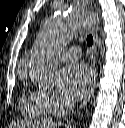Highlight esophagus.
Returning a JSON list of instances; mask_svg holds the SVG:
<instances>
[{"label": "esophagus", "mask_w": 125, "mask_h": 128, "mask_svg": "<svg viewBox=\"0 0 125 128\" xmlns=\"http://www.w3.org/2000/svg\"><path fill=\"white\" fill-rule=\"evenodd\" d=\"M91 32H92L93 40H94L93 41V46H92V52L94 54V58H96V56H97V47H98V28H97L96 24L92 25ZM96 78H97V74H96V69H95L94 77H93V84H92V87L90 89L91 94L93 93V90H94L95 85H96ZM89 99H90V94L83 100V102L81 103L79 108L83 109L86 106Z\"/></svg>", "instance_id": "obj_1"}]
</instances>
